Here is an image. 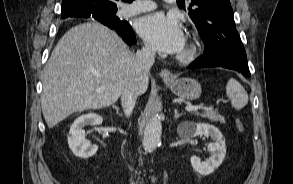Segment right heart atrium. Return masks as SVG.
<instances>
[{"label":"right heart atrium","mask_w":293,"mask_h":184,"mask_svg":"<svg viewBox=\"0 0 293 184\" xmlns=\"http://www.w3.org/2000/svg\"><path fill=\"white\" fill-rule=\"evenodd\" d=\"M145 50H146L147 52H151V48H150L149 46H146V47H145Z\"/></svg>","instance_id":"d8ad5b80"}]
</instances>
